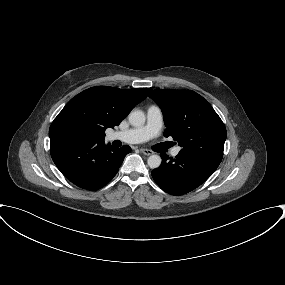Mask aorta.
Wrapping results in <instances>:
<instances>
[{
    "mask_svg": "<svg viewBox=\"0 0 285 285\" xmlns=\"http://www.w3.org/2000/svg\"><path fill=\"white\" fill-rule=\"evenodd\" d=\"M145 120H146L145 114L141 110H137V109L132 110L129 114V122L132 126H136V127L142 126L145 124ZM161 162H162L161 157L156 154L151 155L147 160L148 166L151 169L158 168L161 165Z\"/></svg>",
    "mask_w": 285,
    "mask_h": 285,
    "instance_id": "762f6f07",
    "label": "aorta"
}]
</instances>
